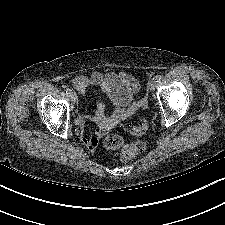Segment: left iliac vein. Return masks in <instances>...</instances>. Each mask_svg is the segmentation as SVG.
<instances>
[{
	"label": "left iliac vein",
	"instance_id": "obj_1",
	"mask_svg": "<svg viewBox=\"0 0 225 225\" xmlns=\"http://www.w3.org/2000/svg\"><path fill=\"white\" fill-rule=\"evenodd\" d=\"M155 88H156V82H155V80L153 79V80H151L150 83H149V89H150L151 91H154Z\"/></svg>",
	"mask_w": 225,
	"mask_h": 225
}]
</instances>
